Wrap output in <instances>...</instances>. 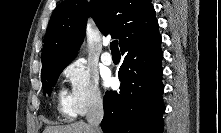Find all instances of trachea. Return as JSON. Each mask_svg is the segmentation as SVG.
<instances>
[{
    "instance_id": "trachea-1",
    "label": "trachea",
    "mask_w": 221,
    "mask_h": 133,
    "mask_svg": "<svg viewBox=\"0 0 221 133\" xmlns=\"http://www.w3.org/2000/svg\"><path fill=\"white\" fill-rule=\"evenodd\" d=\"M110 49L112 52H119L118 41L114 40L110 43Z\"/></svg>"
}]
</instances>
